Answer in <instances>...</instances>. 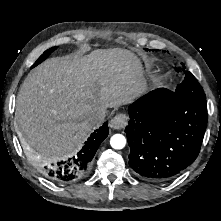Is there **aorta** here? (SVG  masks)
<instances>
[{
  "label": "aorta",
  "mask_w": 221,
  "mask_h": 221,
  "mask_svg": "<svg viewBox=\"0 0 221 221\" xmlns=\"http://www.w3.org/2000/svg\"><path fill=\"white\" fill-rule=\"evenodd\" d=\"M110 145L114 149H123L126 145V139L122 134H115L110 139Z\"/></svg>",
  "instance_id": "obj_1"
}]
</instances>
